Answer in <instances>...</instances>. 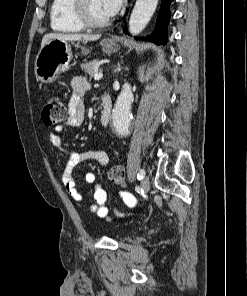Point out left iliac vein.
<instances>
[{"instance_id":"left-iliac-vein-1","label":"left iliac vein","mask_w":247,"mask_h":296,"mask_svg":"<svg viewBox=\"0 0 247 296\" xmlns=\"http://www.w3.org/2000/svg\"><path fill=\"white\" fill-rule=\"evenodd\" d=\"M141 188L147 192L150 188V181H149V178L148 177H144L141 181Z\"/></svg>"}]
</instances>
